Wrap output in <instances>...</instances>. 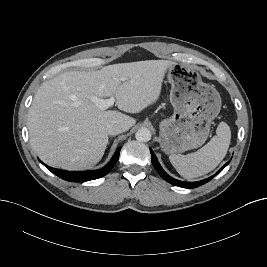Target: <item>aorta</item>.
Listing matches in <instances>:
<instances>
[{"mask_svg": "<svg viewBox=\"0 0 267 267\" xmlns=\"http://www.w3.org/2000/svg\"><path fill=\"white\" fill-rule=\"evenodd\" d=\"M135 137L139 142H148L151 139V132L147 128H140L135 133Z\"/></svg>", "mask_w": 267, "mask_h": 267, "instance_id": "762f6f07", "label": "aorta"}]
</instances>
